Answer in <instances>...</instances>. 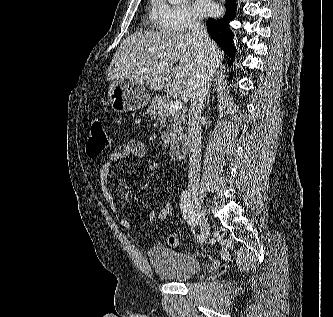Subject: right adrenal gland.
<instances>
[{"instance_id": "obj_1", "label": "right adrenal gland", "mask_w": 333, "mask_h": 317, "mask_svg": "<svg viewBox=\"0 0 333 317\" xmlns=\"http://www.w3.org/2000/svg\"><path fill=\"white\" fill-rule=\"evenodd\" d=\"M210 104V93L209 95L207 96V103H206V107Z\"/></svg>"}]
</instances>
